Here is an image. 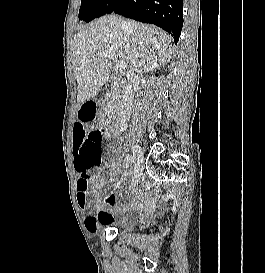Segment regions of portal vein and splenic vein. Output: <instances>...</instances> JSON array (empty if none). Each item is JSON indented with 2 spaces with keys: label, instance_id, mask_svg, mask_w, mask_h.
Wrapping results in <instances>:
<instances>
[{
  "label": "portal vein and splenic vein",
  "instance_id": "1",
  "mask_svg": "<svg viewBox=\"0 0 265 273\" xmlns=\"http://www.w3.org/2000/svg\"><path fill=\"white\" fill-rule=\"evenodd\" d=\"M102 57H110L111 59H113L116 63H115V66H116V69L117 70H123L126 68V63L121 60V61H118L117 58L115 57V55L113 54H102L101 55Z\"/></svg>",
  "mask_w": 265,
  "mask_h": 273
}]
</instances>
